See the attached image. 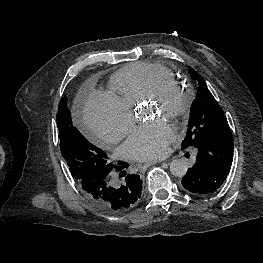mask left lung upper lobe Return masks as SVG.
Instances as JSON below:
<instances>
[{"mask_svg": "<svg viewBox=\"0 0 263 263\" xmlns=\"http://www.w3.org/2000/svg\"><path fill=\"white\" fill-rule=\"evenodd\" d=\"M189 74L199 87L191 106L188 131L182 142L183 149L188 146L197 147L218 132L230 131L222 108L208 90L203 78L191 67Z\"/></svg>", "mask_w": 263, "mask_h": 263, "instance_id": "obj_1", "label": "left lung upper lobe"}]
</instances>
